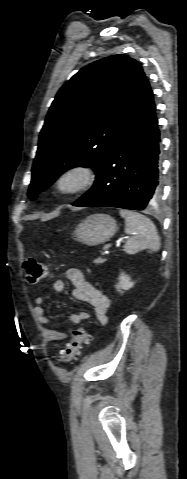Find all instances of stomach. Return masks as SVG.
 Segmentation results:
<instances>
[{
    "instance_id": "1",
    "label": "stomach",
    "mask_w": 187,
    "mask_h": 479,
    "mask_svg": "<svg viewBox=\"0 0 187 479\" xmlns=\"http://www.w3.org/2000/svg\"><path fill=\"white\" fill-rule=\"evenodd\" d=\"M116 229L117 224L113 217L106 214H94L82 220L73 235L79 242L97 245L109 241Z\"/></svg>"
}]
</instances>
